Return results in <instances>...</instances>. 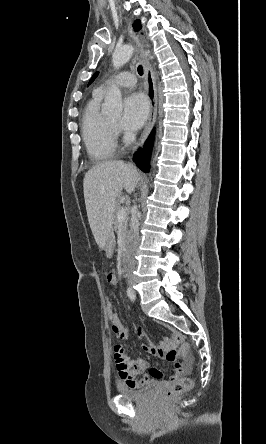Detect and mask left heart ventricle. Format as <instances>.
<instances>
[{
    "label": "left heart ventricle",
    "instance_id": "1",
    "mask_svg": "<svg viewBox=\"0 0 266 444\" xmlns=\"http://www.w3.org/2000/svg\"><path fill=\"white\" fill-rule=\"evenodd\" d=\"M110 120H111L112 122L117 123L118 120H119V118H118V117H111Z\"/></svg>",
    "mask_w": 266,
    "mask_h": 444
}]
</instances>
